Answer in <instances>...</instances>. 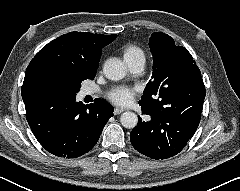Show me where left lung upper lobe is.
I'll use <instances>...</instances> for the list:
<instances>
[{
    "instance_id": "left-lung-upper-lobe-1",
    "label": "left lung upper lobe",
    "mask_w": 240,
    "mask_h": 191,
    "mask_svg": "<svg viewBox=\"0 0 240 191\" xmlns=\"http://www.w3.org/2000/svg\"><path fill=\"white\" fill-rule=\"evenodd\" d=\"M149 46L154 59L153 73L140 102L173 98L181 95L194 79H202L191 54L185 47L176 46L172 37L155 32Z\"/></svg>"
}]
</instances>
